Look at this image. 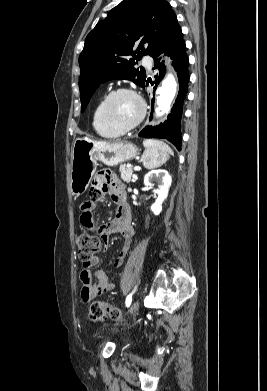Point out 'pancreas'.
<instances>
[{
  "label": "pancreas",
  "mask_w": 267,
  "mask_h": 391,
  "mask_svg": "<svg viewBox=\"0 0 267 391\" xmlns=\"http://www.w3.org/2000/svg\"><path fill=\"white\" fill-rule=\"evenodd\" d=\"M119 170L121 172V179L126 183H130L133 175L132 167H125V165H121Z\"/></svg>",
  "instance_id": "1"
}]
</instances>
